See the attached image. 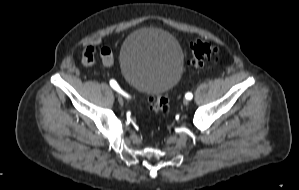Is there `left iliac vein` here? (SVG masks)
Listing matches in <instances>:
<instances>
[{
  "mask_svg": "<svg viewBox=\"0 0 299 190\" xmlns=\"http://www.w3.org/2000/svg\"><path fill=\"white\" fill-rule=\"evenodd\" d=\"M183 104H184L185 106H187V105L189 104V100H188V99H185V100L183 101Z\"/></svg>",
  "mask_w": 299,
  "mask_h": 190,
  "instance_id": "obj_1",
  "label": "left iliac vein"
}]
</instances>
